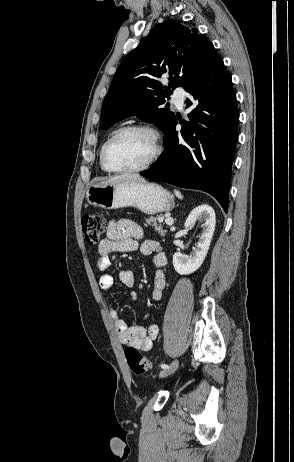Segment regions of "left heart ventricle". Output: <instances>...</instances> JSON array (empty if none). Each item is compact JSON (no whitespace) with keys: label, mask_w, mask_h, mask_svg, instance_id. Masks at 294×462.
Masks as SVG:
<instances>
[{"label":"left heart ventricle","mask_w":294,"mask_h":462,"mask_svg":"<svg viewBox=\"0 0 294 462\" xmlns=\"http://www.w3.org/2000/svg\"><path fill=\"white\" fill-rule=\"evenodd\" d=\"M151 137L141 131H127L121 134L109 147L108 164L116 169L133 168L142 165L153 153Z\"/></svg>","instance_id":"b2bd125f"}]
</instances>
